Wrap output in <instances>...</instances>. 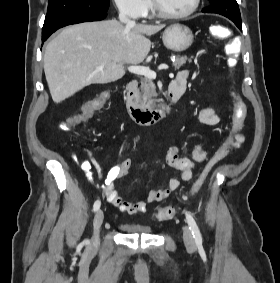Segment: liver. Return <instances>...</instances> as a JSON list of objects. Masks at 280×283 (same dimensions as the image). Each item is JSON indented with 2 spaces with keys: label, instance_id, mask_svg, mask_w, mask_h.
<instances>
[{
  "label": "liver",
  "instance_id": "obj_1",
  "mask_svg": "<svg viewBox=\"0 0 280 283\" xmlns=\"http://www.w3.org/2000/svg\"><path fill=\"white\" fill-rule=\"evenodd\" d=\"M164 27L124 26L112 19L63 29L48 43L44 54V72L53 101L60 103L87 85L122 78L124 65H137L147 57L151 42L146 36Z\"/></svg>",
  "mask_w": 280,
  "mask_h": 283
}]
</instances>
